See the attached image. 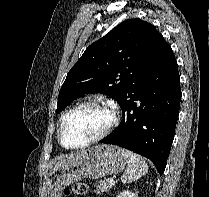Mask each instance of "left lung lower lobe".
I'll return each mask as SVG.
<instances>
[{"instance_id": "obj_1", "label": "left lung lower lobe", "mask_w": 209, "mask_h": 197, "mask_svg": "<svg viewBox=\"0 0 209 197\" xmlns=\"http://www.w3.org/2000/svg\"><path fill=\"white\" fill-rule=\"evenodd\" d=\"M181 95L177 62L166 42L120 104L121 124L99 142L150 159L162 175L174 139Z\"/></svg>"}]
</instances>
